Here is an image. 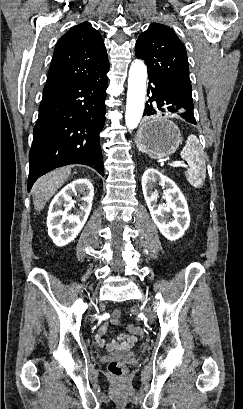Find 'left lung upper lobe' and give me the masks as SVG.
Listing matches in <instances>:
<instances>
[{"mask_svg": "<svg viewBox=\"0 0 243 409\" xmlns=\"http://www.w3.org/2000/svg\"><path fill=\"white\" fill-rule=\"evenodd\" d=\"M135 55L145 61L149 77L192 93L185 47L168 26L151 24L140 34Z\"/></svg>", "mask_w": 243, "mask_h": 409, "instance_id": "5c2ea615", "label": "left lung upper lobe"}]
</instances>
